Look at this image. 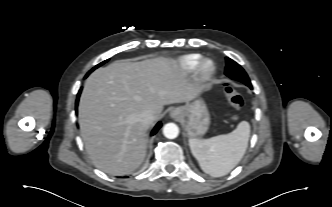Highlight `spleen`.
<instances>
[{"label":"spleen","instance_id":"1","mask_svg":"<svg viewBox=\"0 0 332 207\" xmlns=\"http://www.w3.org/2000/svg\"><path fill=\"white\" fill-rule=\"evenodd\" d=\"M250 136V125L242 121L237 128L225 135L209 139H190L193 156L201 169L213 177L228 174L244 156Z\"/></svg>","mask_w":332,"mask_h":207}]
</instances>
